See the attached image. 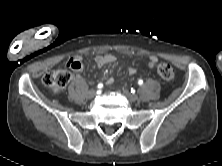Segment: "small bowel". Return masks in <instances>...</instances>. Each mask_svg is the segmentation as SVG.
Returning <instances> with one entry per match:
<instances>
[{"label":"small bowel","mask_w":222,"mask_h":166,"mask_svg":"<svg viewBox=\"0 0 222 166\" xmlns=\"http://www.w3.org/2000/svg\"><path fill=\"white\" fill-rule=\"evenodd\" d=\"M116 61V57L113 54H99L95 57V63L97 67L102 68L106 65L112 64ZM67 66L72 68L74 71L80 72L84 68L83 59L79 55L72 56L68 62ZM137 72L135 68H129L128 74L134 75ZM114 81L113 78H108L106 81L107 85L112 84Z\"/></svg>","instance_id":"obj_1"}]
</instances>
